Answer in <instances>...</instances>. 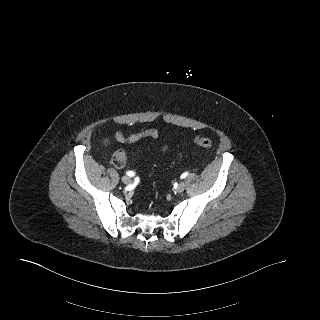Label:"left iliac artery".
<instances>
[{
  "mask_svg": "<svg viewBox=\"0 0 320 320\" xmlns=\"http://www.w3.org/2000/svg\"><path fill=\"white\" fill-rule=\"evenodd\" d=\"M189 173L188 172H184L182 175H181V178H185Z\"/></svg>",
  "mask_w": 320,
  "mask_h": 320,
  "instance_id": "obj_1",
  "label": "left iliac artery"
}]
</instances>
